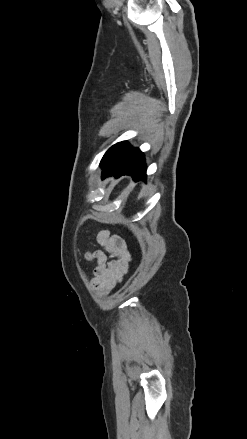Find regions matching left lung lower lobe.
I'll return each mask as SVG.
<instances>
[{
    "label": "left lung lower lobe",
    "instance_id": "obj_1",
    "mask_svg": "<svg viewBox=\"0 0 247 439\" xmlns=\"http://www.w3.org/2000/svg\"><path fill=\"white\" fill-rule=\"evenodd\" d=\"M111 175L115 177L130 175L134 181L145 179L146 165L143 153L138 148H132L124 168L113 170L108 167H103V176Z\"/></svg>",
    "mask_w": 247,
    "mask_h": 439
}]
</instances>
